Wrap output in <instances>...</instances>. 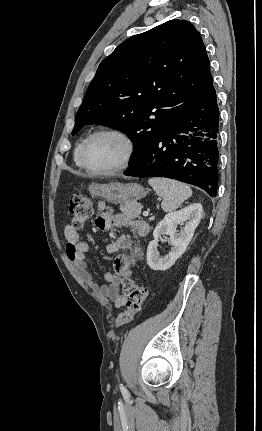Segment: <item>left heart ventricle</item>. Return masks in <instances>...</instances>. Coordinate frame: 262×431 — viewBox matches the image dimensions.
Masks as SVG:
<instances>
[{
	"instance_id": "1",
	"label": "left heart ventricle",
	"mask_w": 262,
	"mask_h": 431,
	"mask_svg": "<svg viewBox=\"0 0 262 431\" xmlns=\"http://www.w3.org/2000/svg\"><path fill=\"white\" fill-rule=\"evenodd\" d=\"M124 154L125 145L120 138L101 135L90 142L86 162L94 170H108L119 165Z\"/></svg>"
}]
</instances>
